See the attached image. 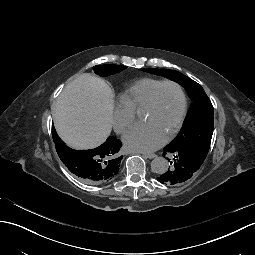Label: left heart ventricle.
Returning a JSON list of instances; mask_svg holds the SVG:
<instances>
[{
    "mask_svg": "<svg viewBox=\"0 0 255 255\" xmlns=\"http://www.w3.org/2000/svg\"><path fill=\"white\" fill-rule=\"evenodd\" d=\"M180 109L179 91L172 85H165L159 90L153 107L142 110L140 119L167 138L176 125Z\"/></svg>",
    "mask_w": 255,
    "mask_h": 255,
    "instance_id": "b2bd125f",
    "label": "left heart ventricle"
}]
</instances>
